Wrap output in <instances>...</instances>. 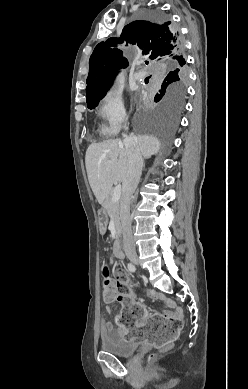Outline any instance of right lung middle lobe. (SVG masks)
Segmentation results:
<instances>
[{
    "instance_id": "obj_1",
    "label": "right lung middle lobe",
    "mask_w": 248,
    "mask_h": 389,
    "mask_svg": "<svg viewBox=\"0 0 248 389\" xmlns=\"http://www.w3.org/2000/svg\"><path fill=\"white\" fill-rule=\"evenodd\" d=\"M145 16L151 22H170L158 10L148 11ZM184 65L185 63L174 62L161 68L154 90V101L158 102L157 108L153 114L143 117V128L166 143L170 141L171 130L185 102L188 73ZM108 89L103 88L87 97V107L95 108Z\"/></svg>"
}]
</instances>
